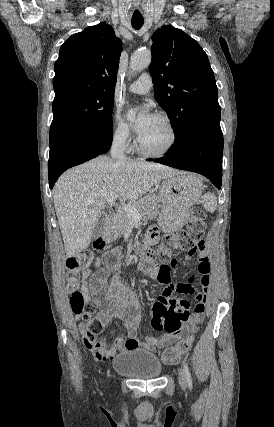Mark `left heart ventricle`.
Returning <instances> with one entry per match:
<instances>
[{"instance_id": "b2bd125f", "label": "left heart ventricle", "mask_w": 274, "mask_h": 427, "mask_svg": "<svg viewBox=\"0 0 274 427\" xmlns=\"http://www.w3.org/2000/svg\"><path fill=\"white\" fill-rule=\"evenodd\" d=\"M138 138L142 147L147 151L160 152L170 143L171 134L164 122L153 117L144 134Z\"/></svg>"}]
</instances>
